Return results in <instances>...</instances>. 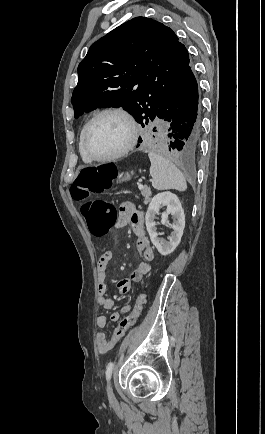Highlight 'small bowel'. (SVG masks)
Wrapping results in <instances>:
<instances>
[{"instance_id":"small-bowel-1","label":"small bowel","mask_w":265,"mask_h":434,"mask_svg":"<svg viewBox=\"0 0 265 434\" xmlns=\"http://www.w3.org/2000/svg\"><path fill=\"white\" fill-rule=\"evenodd\" d=\"M145 219L141 211L137 210L131 202H125L120 206L119 217L116 223L117 228H124L129 225L136 236V248L140 254V261L131 274L130 279H119L117 288L121 294L127 295L132 290V282H139L150 271V262L154 259V249L150 244V240L145 233ZM113 253L111 250L104 251L99 257L96 265L97 271V303L100 308L111 310L114 308V301L108 296L107 285V268L112 260ZM132 311L131 306L123 305L119 311H113L109 319L117 322L120 319L121 313H129ZM97 326L104 328L107 324V318L104 315H99L96 319ZM116 330V329H115ZM96 342L101 353L108 352L106 346L107 335L104 331H98L96 334Z\"/></svg>"}]
</instances>
